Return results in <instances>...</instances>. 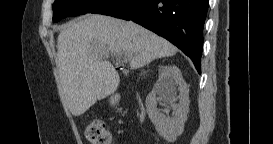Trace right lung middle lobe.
Segmentation results:
<instances>
[{"instance_id":"obj_1","label":"right lung middle lobe","mask_w":273,"mask_h":144,"mask_svg":"<svg viewBox=\"0 0 273 144\" xmlns=\"http://www.w3.org/2000/svg\"><path fill=\"white\" fill-rule=\"evenodd\" d=\"M107 1L109 0H56L52 6L53 21L58 22L67 16L91 13Z\"/></svg>"}]
</instances>
